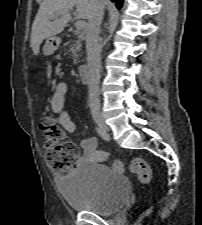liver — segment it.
<instances>
[{
	"instance_id": "6515ba94",
	"label": "liver",
	"mask_w": 202,
	"mask_h": 225,
	"mask_svg": "<svg viewBox=\"0 0 202 225\" xmlns=\"http://www.w3.org/2000/svg\"><path fill=\"white\" fill-rule=\"evenodd\" d=\"M94 4L95 0H43L32 25L30 47L34 55L39 53L44 39L63 31L71 20L70 11L74 7L78 12L77 18L89 19L93 13Z\"/></svg>"
}]
</instances>
